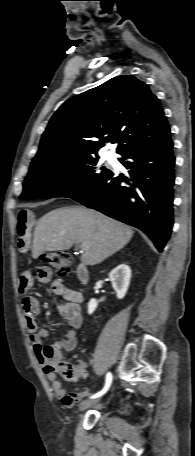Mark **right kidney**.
I'll list each match as a JSON object with an SVG mask.
<instances>
[{"label":"right kidney","mask_w":195,"mask_h":456,"mask_svg":"<svg viewBox=\"0 0 195 456\" xmlns=\"http://www.w3.org/2000/svg\"><path fill=\"white\" fill-rule=\"evenodd\" d=\"M112 287L116 291L118 299L124 298L127 293L130 278H131V269L126 264L118 265L114 268L109 274ZM98 302L96 299H90L88 303V313L92 314L97 308Z\"/></svg>","instance_id":"right-kidney-1"}]
</instances>
